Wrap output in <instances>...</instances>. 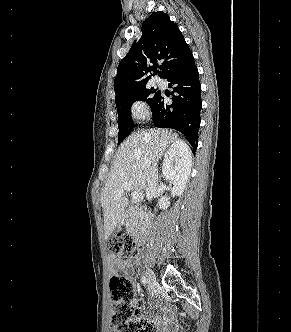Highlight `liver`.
<instances>
[{
    "instance_id": "obj_1",
    "label": "liver",
    "mask_w": 291,
    "mask_h": 332,
    "mask_svg": "<svg viewBox=\"0 0 291 332\" xmlns=\"http://www.w3.org/2000/svg\"><path fill=\"white\" fill-rule=\"evenodd\" d=\"M177 137L169 130L151 129L132 133L120 145L100 197L104 211L105 239L122 221L128 205L121 185L127 182L131 191L146 192V178L152 162L157 164L169 144L179 141ZM188 150L191 155L189 147Z\"/></svg>"
}]
</instances>
